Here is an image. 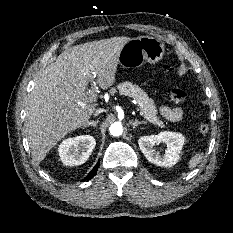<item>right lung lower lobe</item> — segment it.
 I'll use <instances>...</instances> for the list:
<instances>
[{
    "mask_svg": "<svg viewBox=\"0 0 233 233\" xmlns=\"http://www.w3.org/2000/svg\"><path fill=\"white\" fill-rule=\"evenodd\" d=\"M100 163L98 162L95 167L91 170V172L85 177L84 180L88 179L90 180L91 178L94 177V175L96 174L97 170H98V167H99Z\"/></svg>",
    "mask_w": 233,
    "mask_h": 233,
    "instance_id": "obj_1",
    "label": "right lung lower lobe"
}]
</instances>
